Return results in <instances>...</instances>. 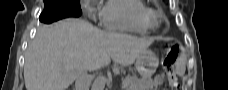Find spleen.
I'll return each mask as SVG.
<instances>
[{
	"instance_id": "1",
	"label": "spleen",
	"mask_w": 228,
	"mask_h": 90,
	"mask_svg": "<svg viewBox=\"0 0 228 90\" xmlns=\"http://www.w3.org/2000/svg\"><path fill=\"white\" fill-rule=\"evenodd\" d=\"M186 70L185 61L183 58H179L176 62V73L179 76H183Z\"/></svg>"
}]
</instances>
